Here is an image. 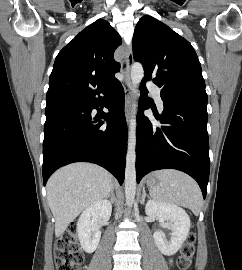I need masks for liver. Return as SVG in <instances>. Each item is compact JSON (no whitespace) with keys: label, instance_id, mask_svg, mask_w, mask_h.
Here are the masks:
<instances>
[{"label":"liver","instance_id":"obj_1","mask_svg":"<svg viewBox=\"0 0 242 270\" xmlns=\"http://www.w3.org/2000/svg\"><path fill=\"white\" fill-rule=\"evenodd\" d=\"M112 188V175L95 164L74 163L56 171L47 182L55 236L60 237L70 222L88 206L106 198Z\"/></svg>","mask_w":242,"mask_h":270}]
</instances>
